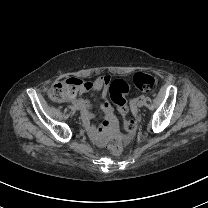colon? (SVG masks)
<instances>
[{
	"label": "colon",
	"instance_id": "obj_1",
	"mask_svg": "<svg viewBox=\"0 0 208 208\" xmlns=\"http://www.w3.org/2000/svg\"><path fill=\"white\" fill-rule=\"evenodd\" d=\"M108 82V78H104ZM72 82H65L64 86L67 88L70 96H73L79 87L89 88L90 84L81 80L71 78ZM134 84L139 91L149 92L153 90L156 85V80L153 76L145 73H137L134 76ZM110 96L116 106L118 114L121 116L123 123L122 128L126 132H131L135 129L136 124L133 120L128 118L127 95L130 92L129 84L123 79H114L109 86ZM107 147L112 150H120L122 147L121 140L117 137H112L107 142Z\"/></svg>",
	"mask_w": 208,
	"mask_h": 208
}]
</instances>
